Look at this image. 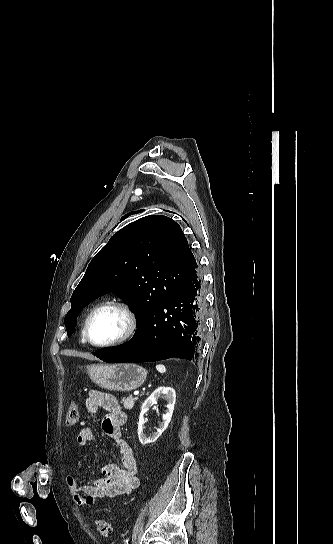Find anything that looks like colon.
Returning a JSON list of instances; mask_svg holds the SVG:
<instances>
[{
    "mask_svg": "<svg viewBox=\"0 0 333 544\" xmlns=\"http://www.w3.org/2000/svg\"><path fill=\"white\" fill-rule=\"evenodd\" d=\"M79 419V407L76 402H73L66 414V423L69 425L75 424ZM95 528L96 530L102 535V536H108L111 532V525L106 517H97L94 520Z\"/></svg>",
    "mask_w": 333,
    "mask_h": 544,
    "instance_id": "obj_1",
    "label": "colon"
}]
</instances>
